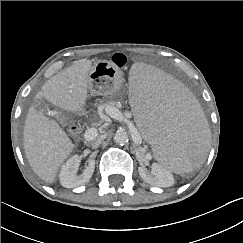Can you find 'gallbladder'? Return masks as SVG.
Returning a JSON list of instances; mask_svg holds the SVG:
<instances>
[{"label":"gallbladder","mask_w":243,"mask_h":243,"mask_svg":"<svg viewBox=\"0 0 243 243\" xmlns=\"http://www.w3.org/2000/svg\"><path fill=\"white\" fill-rule=\"evenodd\" d=\"M34 106L39 113L46 114L52 120H58L63 126L67 125L66 114L54 108L52 104L38 101Z\"/></svg>","instance_id":"1"}]
</instances>
